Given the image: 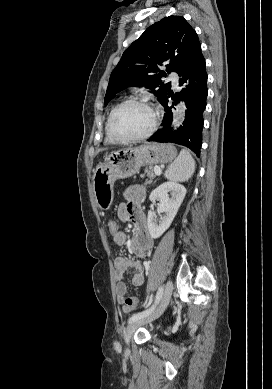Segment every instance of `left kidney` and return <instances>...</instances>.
<instances>
[{"label": "left kidney", "instance_id": "left-kidney-1", "mask_svg": "<svg viewBox=\"0 0 272 389\" xmlns=\"http://www.w3.org/2000/svg\"><path fill=\"white\" fill-rule=\"evenodd\" d=\"M185 195L186 188L177 182H165L151 192L150 201L158 200V212L164 213L157 224L155 212H148L147 225L152 238H159L170 227Z\"/></svg>", "mask_w": 272, "mask_h": 389}]
</instances>
